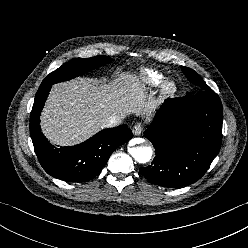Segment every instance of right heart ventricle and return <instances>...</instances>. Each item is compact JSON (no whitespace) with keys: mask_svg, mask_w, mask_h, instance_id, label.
Returning a JSON list of instances; mask_svg holds the SVG:
<instances>
[{"mask_svg":"<svg viewBox=\"0 0 248 248\" xmlns=\"http://www.w3.org/2000/svg\"><path fill=\"white\" fill-rule=\"evenodd\" d=\"M164 75L157 73V72H150L149 73V80L153 85H159L164 81Z\"/></svg>","mask_w":248,"mask_h":248,"instance_id":"e07e8e85","label":"right heart ventricle"}]
</instances>
